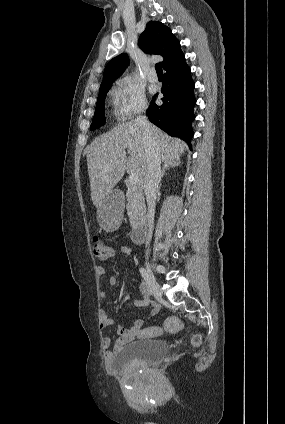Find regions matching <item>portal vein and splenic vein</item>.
Returning <instances> with one entry per match:
<instances>
[{
  "instance_id": "obj_1",
  "label": "portal vein and splenic vein",
  "mask_w": 285,
  "mask_h": 424,
  "mask_svg": "<svg viewBox=\"0 0 285 424\" xmlns=\"http://www.w3.org/2000/svg\"><path fill=\"white\" fill-rule=\"evenodd\" d=\"M129 186L136 187L139 183V177L136 173H133L128 178Z\"/></svg>"
}]
</instances>
